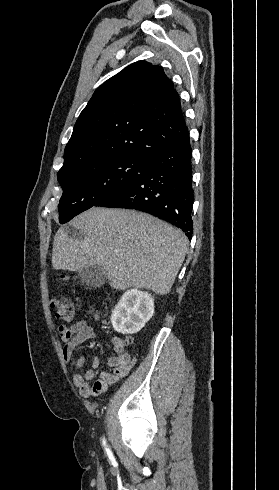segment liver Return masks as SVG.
I'll use <instances>...</instances> for the list:
<instances>
[{
  "instance_id": "6515ba94",
  "label": "liver",
  "mask_w": 279,
  "mask_h": 490,
  "mask_svg": "<svg viewBox=\"0 0 279 490\" xmlns=\"http://www.w3.org/2000/svg\"><path fill=\"white\" fill-rule=\"evenodd\" d=\"M84 234L72 240L59 228L54 236V270L79 272L102 266L111 288H146L169 294L184 262L188 240L166 222L121 208H90L70 222Z\"/></svg>"
}]
</instances>
